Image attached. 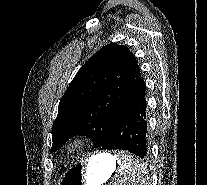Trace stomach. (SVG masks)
<instances>
[{"label":"stomach","instance_id":"obj_1","mask_svg":"<svg viewBox=\"0 0 207 185\" xmlns=\"http://www.w3.org/2000/svg\"><path fill=\"white\" fill-rule=\"evenodd\" d=\"M116 169V160L109 153H100L71 167L59 185H102Z\"/></svg>","mask_w":207,"mask_h":185}]
</instances>
